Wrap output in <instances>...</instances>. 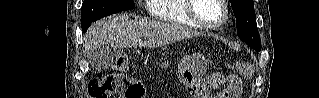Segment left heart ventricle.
<instances>
[{
  "mask_svg": "<svg viewBox=\"0 0 319 98\" xmlns=\"http://www.w3.org/2000/svg\"><path fill=\"white\" fill-rule=\"evenodd\" d=\"M194 11L202 20L210 24L220 22L224 14L218 0H196Z\"/></svg>",
  "mask_w": 319,
  "mask_h": 98,
  "instance_id": "obj_1",
  "label": "left heart ventricle"
}]
</instances>
